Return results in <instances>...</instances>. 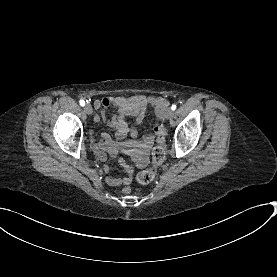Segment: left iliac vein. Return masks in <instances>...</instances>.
Segmentation results:
<instances>
[{
    "mask_svg": "<svg viewBox=\"0 0 277 277\" xmlns=\"http://www.w3.org/2000/svg\"><path fill=\"white\" fill-rule=\"evenodd\" d=\"M172 115H173V111L170 108H167L165 113H164V117L166 119H170L172 117Z\"/></svg>",
    "mask_w": 277,
    "mask_h": 277,
    "instance_id": "obj_1",
    "label": "left iliac vein"
}]
</instances>
